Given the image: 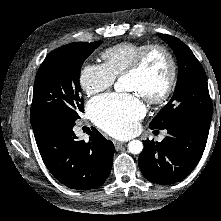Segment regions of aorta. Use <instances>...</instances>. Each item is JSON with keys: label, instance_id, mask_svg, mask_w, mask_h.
<instances>
[{"label": "aorta", "instance_id": "obj_1", "mask_svg": "<svg viewBox=\"0 0 221 221\" xmlns=\"http://www.w3.org/2000/svg\"><path fill=\"white\" fill-rule=\"evenodd\" d=\"M117 92L123 91V85L118 81L114 84ZM128 150L132 154H140L143 150V143L140 140H132L128 143Z\"/></svg>", "mask_w": 221, "mask_h": 221}]
</instances>
